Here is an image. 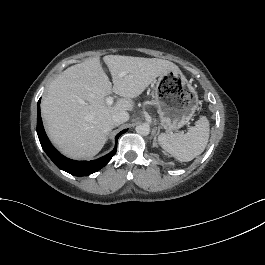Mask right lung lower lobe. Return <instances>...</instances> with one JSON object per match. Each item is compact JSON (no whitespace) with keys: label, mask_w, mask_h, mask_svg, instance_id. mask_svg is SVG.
I'll return each instance as SVG.
<instances>
[{"label":"right lung lower lobe","mask_w":265,"mask_h":265,"mask_svg":"<svg viewBox=\"0 0 265 265\" xmlns=\"http://www.w3.org/2000/svg\"><path fill=\"white\" fill-rule=\"evenodd\" d=\"M40 101L38 102V111H37V134L39 141L41 143L42 148L46 152V154L49 156V158L55 163L56 166H58L60 169L75 175V176H87L90 175L98 170H100L102 167H104L111 158L115 155L117 146H115L114 150L110 152L109 154L93 161H74L69 158H66L62 154H60L54 146L50 143L49 139L47 138L43 124L42 119L40 115ZM127 130L121 131L116 136V142L118 137L126 132Z\"/></svg>","instance_id":"right-lung-lower-lobe-1"}]
</instances>
